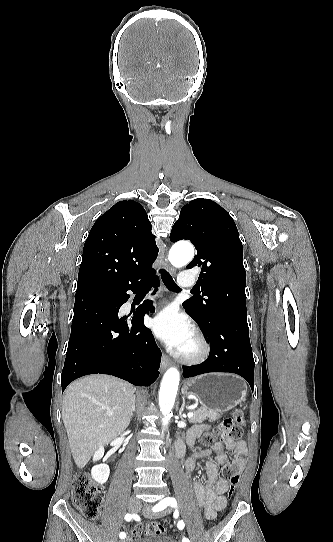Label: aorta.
Here are the masks:
<instances>
[{
    "label": "aorta",
    "instance_id": "762f6f07",
    "mask_svg": "<svg viewBox=\"0 0 333 542\" xmlns=\"http://www.w3.org/2000/svg\"><path fill=\"white\" fill-rule=\"evenodd\" d=\"M194 256V248L187 242H178L172 246L168 260L172 264L171 258H175V268H182L185 264H188ZM180 382V372L177 368H169L163 376L161 382V388L159 392V406L160 412H162V426H167L172 412V408L175 404V398Z\"/></svg>",
    "mask_w": 333,
    "mask_h": 542
}]
</instances>
